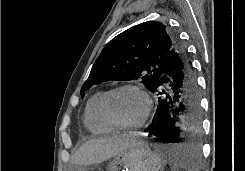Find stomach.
Listing matches in <instances>:
<instances>
[{
	"mask_svg": "<svg viewBox=\"0 0 245 171\" xmlns=\"http://www.w3.org/2000/svg\"><path fill=\"white\" fill-rule=\"evenodd\" d=\"M162 166L160 155L147 145L131 146L109 162L110 171H159ZM73 171H87L85 167L76 166Z\"/></svg>",
	"mask_w": 245,
	"mask_h": 171,
	"instance_id": "obj_1",
	"label": "stomach"
}]
</instances>
